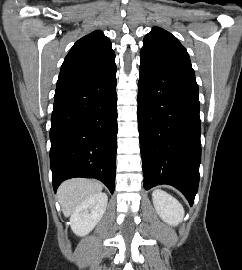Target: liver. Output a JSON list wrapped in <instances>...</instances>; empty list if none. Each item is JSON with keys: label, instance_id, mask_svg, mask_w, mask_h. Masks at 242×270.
<instances>
[{"label": "liver", "instance_id": "obj_1", "mask_svg": "<svg viewBox=\"0 0 242 270\" xmlns=\"http://www.w3.org/2000/svg\"><path fill=\"white\" fill-rule=\"evenodd\" d=\"M102 188V183L88 179H71L62 183L58 189V200L64 216L69 217L85 199L100 193Z\"/></svg>", "mask_w": 242, "mask_h": 270}]
</instances>
